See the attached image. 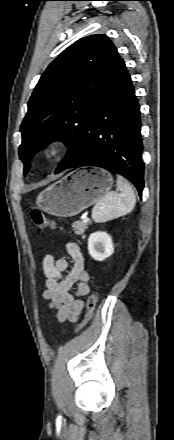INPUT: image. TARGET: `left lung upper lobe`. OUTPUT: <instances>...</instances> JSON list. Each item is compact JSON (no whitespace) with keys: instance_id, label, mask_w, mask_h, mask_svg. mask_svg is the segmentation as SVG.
<instances>
[{"instance_id":"5c2ea615","label":"left lung upper lobe","mask_w":174,"mask_h":440,"mask_svg":"<svg viewBox=\"0 0 174 440\" xmlns=\"http://www.w3.org/2000/svg\"><path fill=\"white\" fill-rule=\"evenodd\" d=\"M121 58L104 35L82 38L64 50L46 69L28 103L21 124L19 156L24 174L37 150L62 140L68 146L59 173L80 151L86 117L104 91Z\"/></svg>"}]
</instances>
